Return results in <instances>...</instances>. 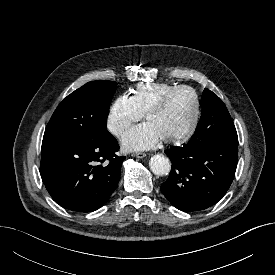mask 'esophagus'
I'll return each instance as SVG.
<instances>
[{
  "label": "esophagus",
  "mask_w": 275,
  "mask_h": 275,
  "mask_svg": "<svg viewBox=\"0 0 275 275\" xmlns=\"http://www.w3.org/2000/svg\"><path fill=\"white\" fill-rule=\"evenodd\" d=\"M132 156L136 158H144L146 157V154L142 152H136V153H133Z\"/></svg>",
  "instance_id": "obj_1"
}]
</instances>
